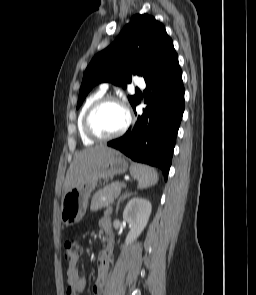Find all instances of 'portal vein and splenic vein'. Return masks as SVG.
<instances>
[{
  "label": "portal vein and splenic vein",
  "mask_w": 256,
  "mask_h": 295,
  "mask_svg": "<svg viewBox=\"0 0 256 295\" xmlns=\"http://www.w3.org/2000/svg\"><path fill=\"white\" fill-rule=\"evenodd\" d=\"M123 185H124V186H126V183H125V182H123Z\"/></svg>",
  "instance_id": "1"
}]
</instances>
